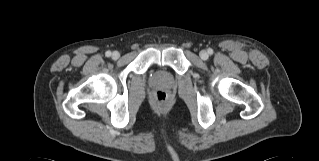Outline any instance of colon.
Listing matches in <instances>:
<instances>
[{
  "label": "colon",
  "instance_id": "colon-1",
  "mask_svg": "<svg viewBox=\"0 0 319 161\" xmlns=\"http://www.w3.org/2000/svg\"><path fill=\"white\" fill-rule=\"evenodd\" d=\"M154 102L157 106H166L169 103V94L163 89L156 90L153 95Z\"/></svg>",
  "mask_w": 319,
  "mask_h": 161
}]
</instances>
